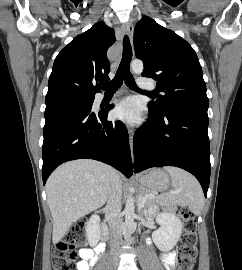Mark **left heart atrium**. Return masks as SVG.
Listing matches in <instances>:
<instances>
[{
    "instance_id": "1",
    "label": "left heart atrium",
    "mask_w": 242,
    "mask_h": 270,
    "mask_svg": "<svg viewBox=\"0 0 242 270\" xmlns=\"http://www.w3.org/2000/svg\"><path fill=\"white\" fill-rule=\"evenodd\" d=\"M114 116L126 123L135 124L141 119V107L137 99L129 97L114 109Z\"/></svg>"
}]
</instances>
